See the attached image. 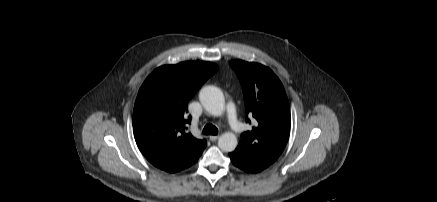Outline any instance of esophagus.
I'll use <instances>...</instances> for the list:
<instances>
[{
    "label": "esophagus",
    "instance_id": "34e87169",
    "mask_svg": "<svg viewBox=\"0 0 437 202\" xmlns=\"http://www.w3.org/2000/svg\"><path fill=\"white\" fill-rule=\"evenodd\" d=\"M218 138H219L218 135H211V136H209V139H210L211 141H216Z\"/></svg>",
    "mask_w": 437,
    "mask_h": 202
}]
</instances>
